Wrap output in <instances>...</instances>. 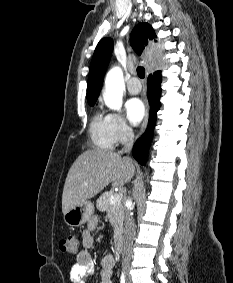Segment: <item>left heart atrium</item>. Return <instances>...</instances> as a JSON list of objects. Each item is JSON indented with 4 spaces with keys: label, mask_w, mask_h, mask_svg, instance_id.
I'll use <instances>...</instances> for the list:
<instances>
[{
    "label": "left heart atrium",
    "mask_w": 233,
    "mask_h": 283,
    "mask_svg": "<svg viewBox=\"0 0 233 283\" xmlns=\"http://www.w3.org/2000/svg\"><path fill=\"white\" fill-rule=\"evenodd\" d=\"M127 118L131 124L137 125L145 115V106L139 98H131L125 103Z\"/></svg>",
    "instance_id": "1"
}]
</instances>
